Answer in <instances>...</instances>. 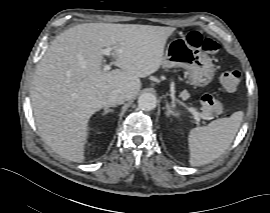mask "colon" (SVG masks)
<instances>
[{
  "label": "colon",
  "instance_id": "obj_1",
  "mask_svg": "<svg viewBox=\"0 0 270 213\" xmlns=\"http://www.w3.org/2000/svg\"><path fill=\"white\" fill-rule=\"evenodd\" d=\"M188 43L193 47H201L205 52L216 54L219 53L220 45L211 38H205L197 31H191L187 35ZM240 73L237 70H232L224 73L221 76V85L228 92H234L240 83ZM222 110L220 100L210 94H206L201 98V111L205 116H215Z\"/></svg>",
  "mask_w": 270,
  "mask_h": 213
}]
</instances>
